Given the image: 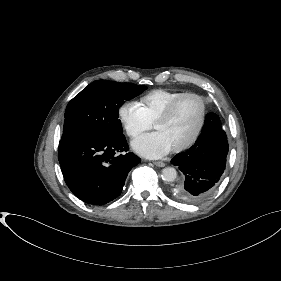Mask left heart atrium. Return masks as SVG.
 <instances>
[{
  "instance_id": "obj_1",
  "label": "left heart atrium",
  "mask_w": 281,
  "mask_h": 281,
  "mask_svg": "<svg viewBox=\"0 0 281 281\" xmlns=\"http://www.w3.org/2000/svg\"><path fill=\"white\" fill-rule=\"evenodd\" d=\"M133 149L148 158H160L167 155L171 146L159 132L145 134L132 143Z\"/></svg>"
}]
</instances>
